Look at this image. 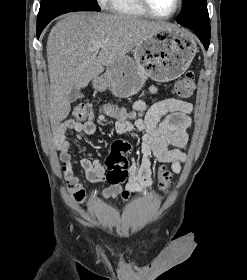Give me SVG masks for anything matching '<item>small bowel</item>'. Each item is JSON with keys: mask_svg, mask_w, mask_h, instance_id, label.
Returning <instances> with one entry per match:
<instances>
[{"mask_svg": "<svg viewBox=\"0 0 247 280\" xmlns=\"http://www.w3.org/2000/svg\"><path fill=\"white\" fill-rule=\"evenodd\" d=\"M155 86L150 87L151 93H157ZM137 112L144 114L135 120H122L115 118L114 130L117 134H126L133 131L142 133L141 137V160L132 159L129 175L125 186L118 191H110L106 187L99 195L87 197L85 190L75 174V167L80 166L88 181H106L107 170L103 164L91 153L75 158L72 155L73 144L68 140L67 134L72 131L74 141L83 146L82 135L93 136L97 126L108 125V118L104 114L97 116L96 120L86 122L67 119L55 128L54 143L60 152V159L65 164L66 184L74 199L85 203L92 199L110 201L121 196L123 202H127L133 194L142 193L151 186V159L169 164L174 173L181 171V165L186 159L181 150L188 143L187 129L191 124V103L175 98H168L152 104L138 100L134 104ZM169 146H173L170 149Z\"/></svg>", "mask_w": 247, "mask_h": 280, "instance_id": "1", "label": "small bowel"}]
</instances>
